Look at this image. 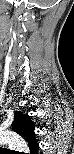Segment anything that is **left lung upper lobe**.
<instances>
[{
  "mask_svg": "<svg viewBox=\"0 0 74 154\" xmlns=\"http://www.w3.org/2000/svg\"><path fill=\"white\" fill-rule=\"evenodd\" d=\"M16 120H18V118ZM14 128L17 129V126H14Z\"/></svg>",
  "mask_w": 74,
  "mask_h": 154,
  "instance_id": "left-lung-upper-lobe-1",
  "label": "left lung upper lobe"
}]
</instances>
